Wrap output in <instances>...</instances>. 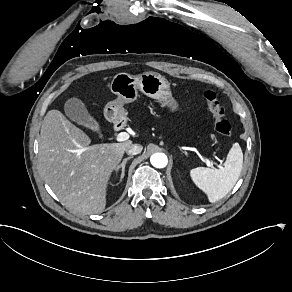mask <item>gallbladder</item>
<instances>
[{
	"mask_svg": "<svg viewBox=\"0 0 292 292\" xmlns=\"http://www.w3.org/2000/svg\"><path fill=\"white\" fill-rule=\"evenodd\" d=\"M64 110L66 116L78 124L89 127L95 122L93 117L88 113L84 103L77 98H71L67 100L64 106Z\"/></svg>",
	"mask_w": 292,
	"mask_h": 292,
	"instance_id": "obj_1",
	"label": "gallbladder"
}]
</instances>
